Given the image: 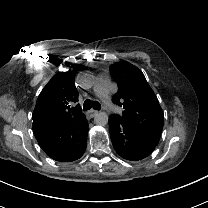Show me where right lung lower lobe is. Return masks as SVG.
Listing matches in <instances>:
<instances>
[{
    "instance_id": "obj_1",
    "label": "right lung lower lobe",
    "mask_w": 208,
    "mask_h": 208,
    "mask_svg": "<svg viewBox=\"0 0 208 208\" xmlns=\"http://www.w3.org/2000/svg\"><path fill=\"white\" fill-rule=\"evenodd\" d=\"M39 146L52 159L71 162L79 159L87 146L88 122L85 115L72 123L33 131Z\"/></svg>"
}]
</instances>
